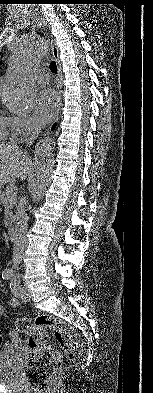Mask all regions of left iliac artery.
I'll return each mask as SVG.
<instances>
[{
    "label": "left iliac artery",
    "instance_id": "1",
    "mask_svg": "<svg viewBox=\"0 0 153 393\" xmlns=\"http://www.w3.org/2000/svg\"><path fill=\"white\" fill-rule=\"evenodd\" d=\"M19 283L20 282L16 278H12L11 279L10 288H11V290H12V292H13V294L15 296H16V293H17V289H18Z\"/></svg>",
    "mask_w": 153,
    "mask_h": 393
}]
</instances>
